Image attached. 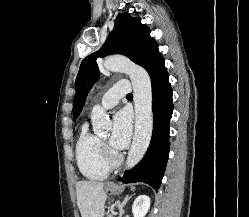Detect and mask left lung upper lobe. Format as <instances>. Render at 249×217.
<instances>
[{"mask_svg": "<svg viewBox=\"0 0 249 217\" xmlns=\"http://www.w3.org/2000/svg\"><path fill=\"white\" fill-rule=\"evenodd\" d=\"M122 54L142 66L149 75L163 60L157 42L150 37V30L141 24V19L128 13L118 14L115 25L104 45L95 53L85 57L76 77L74 98V120L79 116L87 94L99 78L96 63L98 57Z\"/></svg>", "mask_w": 249, "mask_h": 217, "instance_id": "left-lung-upper-lobe-1", "label": "left lung upper lobe"}]
</instances>
